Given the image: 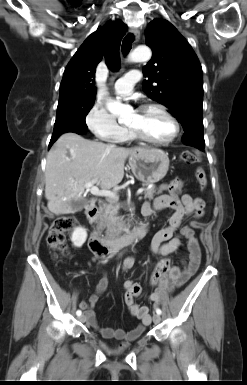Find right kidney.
Segmentation results:
<instances>
[{"instance_id": "right-kidney-1", "label": "right kidney", "mask_w": 247, "mask_h": 385, "mask_svg": "<svg viewBox=\"0 0 247 385\" xmlns=\"http://www.w3.org/2000/svg\"><path fill=\"white\" fill-rule=\"evenodd\" d=\"M87 239V231L86 229L82 227L76 228L71 236V241L73 245L77 248L82 247V245L85 243Z\"/></svg>"}]
</instances>
